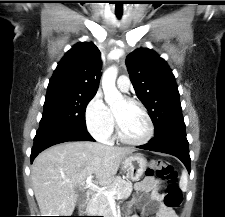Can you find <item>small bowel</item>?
<instances>
[{
    "label": "small bowel",
    "mask_w": 225,
    "mask_h": 217,
    "mask_svg": "<svg viewBox=\"0 0 225 217\" xmlns=\"http://www.w3.org/2000/svg\"><path fill=\"white\" fill-rule=\"evenodd\" d=\"M159 181L152 175L146 176L135 184V190L141 193H149V195H141L127 203L126 208L131 210L136 208L138 215L131 217H139L141 214H151L157 210L156 217H178L175 211L166 206L163 202V196L159 193Z\"/></svg>",
    "instance_id": "obj_1"
}]
</instances>
